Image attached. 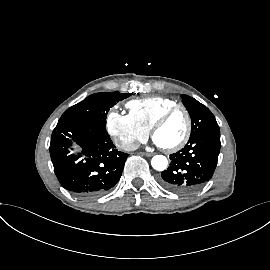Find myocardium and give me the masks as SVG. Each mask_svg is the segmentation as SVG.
Instances as JSON below:
<instances>
[{"instance_id": "f54148a6", "label": "myocardium", "mask_w": 270, "mask_h": 270, "mask_svg": "<svg viewBox=\"0 0 270 270\" xmlns=\"http://www.w3.org/2000/svg\"><path fill=\"white\" fill-rule=\"evenodd\" d=\"M178 110H182L186 116V120H187L186 132H185L184 136L182 137V139L178 143H176L175 145L170 146V147H162V149L167 153H173V152L179 151L189 141L191 133H192V127H193L192 117H191L189 110L182 104H176V105L168 108L167 110H165L156 119V121L153 123V125L151 127V135H152V137H154L157 130L166 123V121L171 117V115L173 113H175Z\"/></svg>"}]
</instances>
